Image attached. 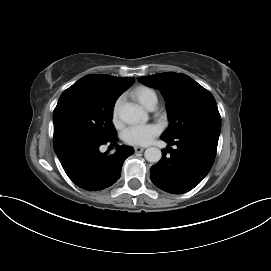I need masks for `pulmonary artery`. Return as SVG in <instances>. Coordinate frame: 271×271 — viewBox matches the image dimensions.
Here are the masks:
<instances>
[{
    "instance_id": "pulmonary-artery-1",
    "label": "pulmonary artery",
    "mask_w": 271,
    "mask_h": 271,
    "mask_svg": "<svg viewBox=\"0 0 271 271\" xmlns=\"http://www.w3.org/2000/svg\"><path fill=\"white\" fill-rule=\"evenodd\" d=\"M156 104H157V103L153 104L149 109H150V110H153V109L156 107Z\"/></svg>"
}]
</instances>
